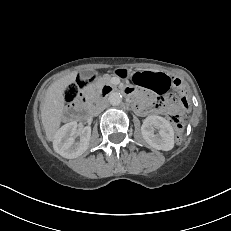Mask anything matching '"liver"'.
I'll use <instances>...</instances> for the list:
<instances>
[{"label":"liver","mask_w":231,"mask_h":231,"mask_svg":"<svg viewBox=\"0 0 231 231\" xmlns=\"http://www.w3.org/2000/svg\"><path fill=\"white\" fill-rule=\"evenodd\" d=\"M76 75L77 72H71L55 81L45 94L40 111L42 125L49 141L54 140L61 125L65 110L64 91L70 84L74 83Z\"/></svg>","instance_id":"6515ba94"}]
</instances>
